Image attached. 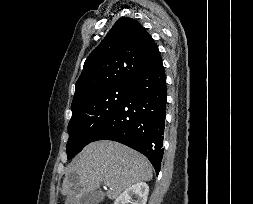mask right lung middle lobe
<instances>
[{"mask_svg": "<svg viewBox=\"0 0 253 204\" xmlns=\"http://www.w3.org/2000/svg\"><path fill=\"white\" fill-rule=\"evenodd\" d=\"M130 84L116 85L98 91L72 105V117L68 124V159L93 142L125 99Z\"/></svg>", "mask_w": 253, "mask_h": 204, "instance_id": "1", "label": "right lung middle lobe"}]
</instances>
